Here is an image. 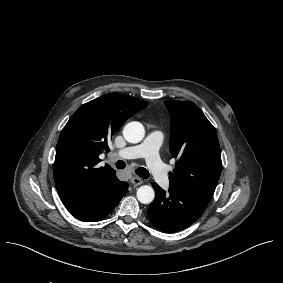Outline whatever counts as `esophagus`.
<instances>
[{"mask_svg":"<svg viewBox=\"0 0 283 283\" xmlns=\"http://www.w3.org/2000/svg\"><path fill=\"white\" fill-rule=\"evenodd\" d=\"M131 183L135 186H139L143 183V180L138 177L131 178Z\"/></svg>","mask_w":283,"mask_h":283,"instance_id":"esophagus-1","label":"esophagus"}]
</instances>
